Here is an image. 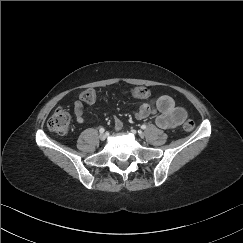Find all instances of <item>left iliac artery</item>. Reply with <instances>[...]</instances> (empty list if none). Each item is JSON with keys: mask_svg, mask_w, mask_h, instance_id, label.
<instances>
[{"mask_svg": "<svg viewBox=\"0 0 243 243\" xmlns=\"http://www.w3.org/2000/svg\"><path fill=\"white\" fill-rule=\"evenodd\" d=\"M141 129H146V125L145 124H143L142 126H141Z\"/></svg>", "mask_w": 243, "mask_h": 243, "instance_id": "1", "label": "left iliac artery"}]
</instances>
